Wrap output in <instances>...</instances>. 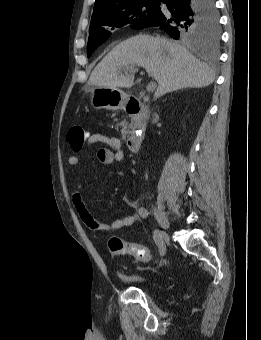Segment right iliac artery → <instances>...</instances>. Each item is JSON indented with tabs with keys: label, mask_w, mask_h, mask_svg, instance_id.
<instances>
[{
	"label": "right iliac artery",
	"mask_w": 261,
	"mask_h": 340,
	"mask_svg": "<svg viewBox=\"0 0 261 340\" xmlns=\"http://www.w3.org/2000/svg\"><path fill=\"white\" fill-rule=\"evenodd\" d=\"M139 215L142 218H147L148 215H149V212H148V210L145 207H141L139 209ZM153 239H154L155 244L157 245V247L159 249L160 255L163 256L165 254V244H164V241H163L162 233L160 231H158V230H155L153 232Z\"/></svg>",
	"instance_id": "82829eb1"
}]
</instances>
